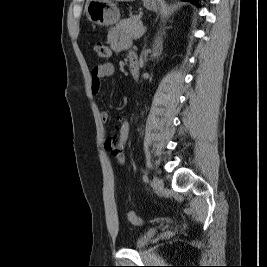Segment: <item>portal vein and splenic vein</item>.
Returning <instances> with one entry per match:
<instances>
[{"label": "portal vein and splenic vein", "mask_w": 267, "mask_h": 267, "mask_svg": "<svg viewBox=\"0 0 267 267\" xmlns=\"http://www.w3.org/2000/svg\"><path fill=\"white\" fill-rule=\"evenodd\" d=\"M146 29H147V27H146V26L142 27V29H141V31H140V33H139V35H138V36H136V38H135V39H137V38H140V37L143 35V33L146 31Z\"/></svg>", "instance_id": "portal-vein-and-splenic-vein-1"}]
</instances>
